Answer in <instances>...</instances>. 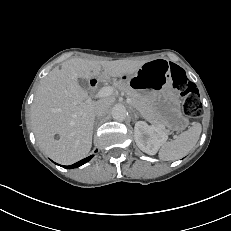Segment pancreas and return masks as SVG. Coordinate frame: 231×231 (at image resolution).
<instances>
[{"instance_id":"cf45deb5","label":"pancreas","mask_w":231,"mask_h":231,"mask_svg":"<svg viewBox=\"0 0 231 231\" xmlns=\"http://www.w3.org/2000/svg\"><path fill=\"white\" fill-rule=\"evenodd\" d=\"M114 87L130 97L132 106L136 108L147 121L156 126L162 127L157 114L152 109L147 98L143 97L140 93L135 91L123 81H115Z\"/></svg>"}]
</instances>
